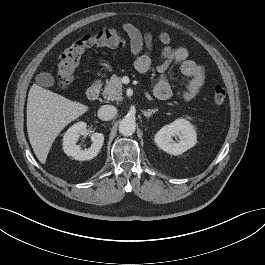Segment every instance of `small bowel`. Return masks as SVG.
Segmentation results:
<instances>
[{
    "label": "small bowel",
    "mask_w": 265,
    "mask_h": 265,
    "mask_svg": "<svg viewBox=\"0 0 265 265\" xmlns=\"http://www.w3.org/2000/svg\"><path fill=\"white\" fill-rule=\"evenodd\" d=\"M123 30L130 40V50L134 56L136 70L140 73L147 72L152 64L153 35L150 32L142 33L132 23H125ZM157 41L161 45V54L157 65L159 77L154 88L155 96L161 100L171 96L172 88L165 72L171 64H179L181 73L186 77L182 97L186 101L193 100L199 95L205 84L206 70L204 66L188 59L186 48L171 46V39L167 33H160L157 36Z\"/></svg>",
    "instance_id": "1"
}]
</instances>
